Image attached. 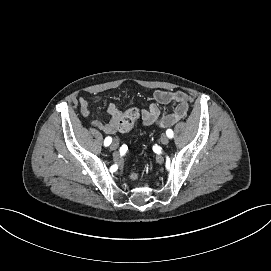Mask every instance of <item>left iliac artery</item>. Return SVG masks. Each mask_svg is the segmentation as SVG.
<instances>
[{"label":"left iliac artery","mask_w":271,"mask_h":271,"mask_svg":"<svg viewBox=\"0 0 271 271\" xmlns=\"http://www.w3.org/2000/svg\"><path fill=\"white\" fill-rule=\"evenodd\" d=\"M166 134H167V136H168L169 138H172V137H173V131H172L171 129H168V130L166 131Z\"/></svg>","instance_id":"obj_1"}]
</instances>
